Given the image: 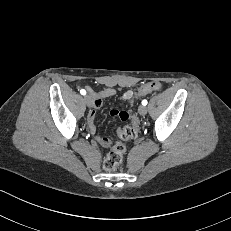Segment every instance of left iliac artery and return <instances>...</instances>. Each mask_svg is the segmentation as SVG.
I'll list each match as a JSON object with an SVG mask.
<instances>
[{
    "label": "left iliac artery",
    "instance_id": "obj_1",
    "mask_svg": "<svg viewBox=\"0 0 231 231\" xmlns=\"http://www.w3.org/2000/svg\"><path fill=\"white\" fill-rule=\"evenodd\" d=\"M142 105H144V106L147 105V100H143Z\"/></svg>",
    "mask_w": 231,
    "mask_h": 231
}]
</instances>
